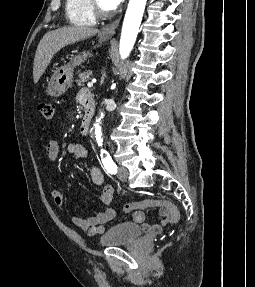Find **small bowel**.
<instances>
[{"label":"small bowel","instance_id":"small-bowel-1","mask_svg":"<svg viewBox=\"0 0 255 287\" xmlns=\"http://www.w3.org/2000/svg\"><path fill=\"white\" fill-rule=\"evenodd\" d=\"M67 152L79 159H89V153L87 148L80 143H69L67 145ZM59 154V145L56 140H50L46 145V156L49 161L54 162ZM89 175L94 185L102 186L104 182V176L101 169L95 165H92L89 169ZM114 189L111 185H105L102 187L99 198L100 201L109 205L113 200ZM53 202L57 206H62L64 203L63 193L55 189L51 192ZM117 215V210L113 207H107L99 211L96 215L83 219L74 217L72 223L86 231L90 235L101 234L105 230V225L112 221ZM159 216L161 220L157 224H148L145 222V215L142 211H135L132 214V221L136 224L142 225L143 229L147 232L161 233L165 226L171 223V219L165 209L159 210Z\"/></svg>","mask_w":255,"mask_h":287}]
</instances>
